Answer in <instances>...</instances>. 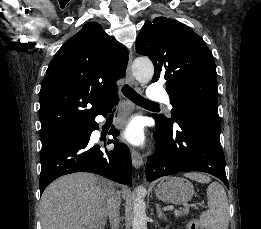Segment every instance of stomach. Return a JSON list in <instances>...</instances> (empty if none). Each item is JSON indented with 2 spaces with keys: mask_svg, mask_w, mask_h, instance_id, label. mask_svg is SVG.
<instances>
[{
  "mask_svg": "<svg viewBox=\"0 0 261 229\" xmlns=\"http://www.w3.org/2000/svg\"><path fill=\"white\" fill-rule=\"evenodd\" d=\"M155 195L163 203L183 205L191 201L194 195V187L190 181L181 177H163L155 189Z\"/></svg>",
  "mask_w": 261,
  "mask_h": 229,
  "instance_id": "0dacf381",
  "label": "stomach"
}]
</instances>
